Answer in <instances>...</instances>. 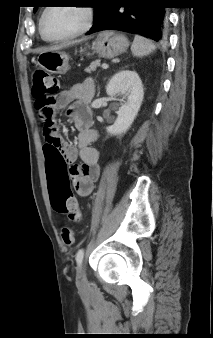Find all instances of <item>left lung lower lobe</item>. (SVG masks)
<instances>
[{"label":"left lung lower lobe","mask_w":213,"mask_h":338,"mask_svg":"<svg viewBox=\"0 0 213 338\" xmlns=\"http://www.w3.org/2000/svg\"><path fill=\"white\" fill-rule=\"evenodd\" d=\"M87 34L119 30L165 43L168 36L166 6L162 0H102Z\"/></svg>","instance_id":"left-lung-lower-lobe-1"}]
</instances>
